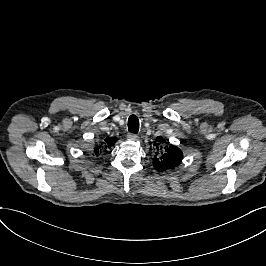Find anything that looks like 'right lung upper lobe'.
Here are the masks:
<instances>
[{
    "label": "right lung upper lobe",
    "instance_id": "cb5924a9",
    "mask_svg": "<svg viewBox=\"0 0 266 266\" xmlns=\"http://www.w3.org/2000/svg\"><path fill=\"white\" fill-rule=\"evenodd\" d=\"M116 141H117V138H115V137H107L105 139V142H103V144L105 147H110V146L114 145L116 143ZM99 148H100V146H99ZM99 148H96V150L98 151Z\"/></svg>",
    "mask_w": 266,
    "mask_h": 266
}]
</instances>
